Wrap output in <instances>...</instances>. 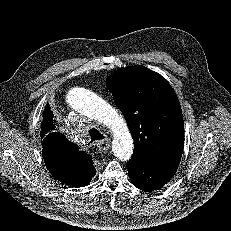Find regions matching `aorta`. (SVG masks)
I'll use <instances>...</instances> for the list:
<instances>
[{
  "instance_id": "aorta-1",
  "label": "aorta",
  "mask_w": 231,
  "mask_h": 231,
  "mask_svg": "<svg viewBox=\"0 0 231 231\" xmlns=\"http://www.w3.org/2000/svg\"><path fill=\"white\" fill-rule=\"evenodd\" d=\"M67 103L75 111L105 125L113 134L112 150L121 161L133 154L134 144L126 121L118 111L94 92L75 87L68 91Z\"/></svg>"
}]
</instances>
